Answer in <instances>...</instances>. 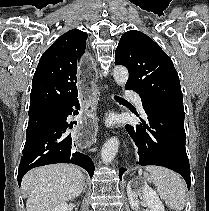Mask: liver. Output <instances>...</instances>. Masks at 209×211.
I'll return each instance as SVG.
<instances>
[{
    "instance_id": "1",
    "label": "liver",
    "mask_w": 209,
    "mask_h": 211,
    "mask_svg": "<svg viewBox=\"0 0 209 211\" xmlns=\"http://www.w3.org/2000/svg\"><path fill=\"white\" fill-rule=\"evenodd\" d=\"M84 176L70 164H52L34 168L22 179L21 188L27 193V211H52L61 203L83 191Z\"/></svg>"
}]
</instances>
